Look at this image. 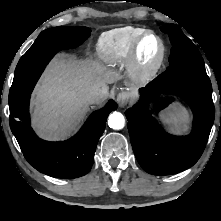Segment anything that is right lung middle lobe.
Masks as SVG:
<instances>
[{
    "label": "right lung middle lobe",
    "instance_id": "dd1d6c3e",
    "mask_svg": "<svg viewBox=\"0 0 221 221\" xmlns=\"http://www.w3.org/2000/svg\"><path fill=\"white\" fill-rule=\"evenodd\" d=\"M90 32L83 26H59L41 32L18 62L9 91V105L32 92L45 66L58 51L81 45Z\"/></svg>",
    "mask_w": 221,
    "mask_h": 221
}]
</instances>
